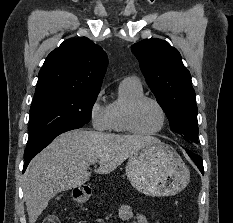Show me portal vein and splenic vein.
I'll return each instance as SVG.
<instances>
[{
    "instance_id": "obj_1",
    "label": "portal vein and splenic vein",
    "mask_w": 233,
    "mask_h": 223,
    "mask_svg": "<svg viewBox=\"0 0 233 223\" xmlns=\"http://www.w3.org/2000/svg\"><path fill=\"white\" fill-rule=\"evenodd\" d=\"M91 163H93V165H96L97 159H92Z\"/></svg>"
}]
</instances>
